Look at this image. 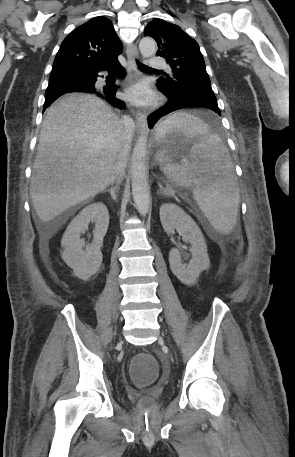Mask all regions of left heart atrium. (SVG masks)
I'll list each match as a JSON object with an SVG mask.
<instances>
[{
	"label": "left heart atrium",
	"instance_id": "obj_1",
	"mask_svg": "<svg viewBox=\"0 0 295 457\" xmlns=\"http://www.w3.org/2000/svg\"><path fill=\"white\" fill-rule=\"evenodd\" d=\"M127 99L138 106L152 105L156 100V95L144 81L133 84L126 92Z\"/></svg>",
	"mask_w": 295,
	"mask_h": 457
}]
</instances>
